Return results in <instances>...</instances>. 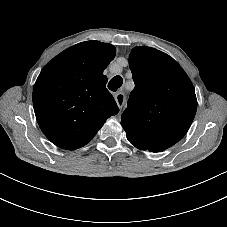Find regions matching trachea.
<instances>
[{"mask_svg": "<svg viewBox=\"0 0 227 227\" xmlns=\"http://www.w3.org/2000/svg\"><path fill=\"white\" fill-rule=\"evenodd\" d=\"M122 83H123L122 77L119 75L115 76L109 81L108 88L111 91L116 92L118 88L122 86Z\"/></svg>", "mask_w": 227, "mask_h": 227, "instance_id": "obj_1", "label": "trachea"}]
</instances>
